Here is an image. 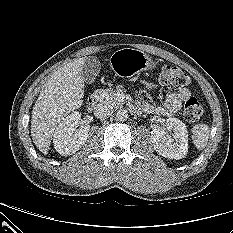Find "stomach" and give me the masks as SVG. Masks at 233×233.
<instances>
[{
	"label": "stomach",
	"instance_id": "obj_1",
	"mask_svg": "<svg viewBox=\"0 0 233 233\" xmlns=\"http://www.w3.org/2000/svg\"><path fill=\"white\" fill-rule=\"evenodd\" d=\"M110 65L116 74L123 77L155 67V63L146 53L133 48L115 51L110 57Z\"/></svg>",
	"mask_w": 233,
	"mask_h": 233
}]
</instances>
